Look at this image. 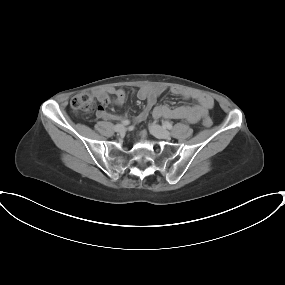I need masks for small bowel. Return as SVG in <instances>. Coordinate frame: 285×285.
<instances>
[{"label":"small bowel","mask_w":285,"mask_h":285,"mask_svg":"<svg viewBox=\"0 0 285 285\" xmlns=\"http://www.w3.org/2000/svg\"><path fill=\"white\" fill-rule=\"evenodd\" d=\"M95 97L101 104H109V94L114 95L113 104L121 107L126 99L127 94L123 89L117 88H95L93 90ZM162 93V88L155 87H140L135 91L137 99L146 101L144 109L133 118L134 123H141L147 119L150 113L155 119L167 118V119H182L189 123H196L202 117L206 116L209 110L213 107L214 101L209 95L196 92L187 91L180 88H173L172 93L182 96L183 98H192L196 101V105H182L178 107H170L167 105L155 106L158 97ZM97 117L105 120H116L117 116L106 112L103 108H99L96 112ZM145 133L142 132L141 136Z\"/></svg>","instance_id":"1"}]
</instances>
